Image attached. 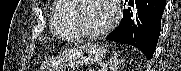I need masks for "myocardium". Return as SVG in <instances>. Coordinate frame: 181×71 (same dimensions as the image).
<instances>
[{
	"label": "myocardium",
	"instance_id": "myocardium-1",
	"mask_svg": "<svg viewBox=\"0 0 181 71\" xmlns=\"http://www.w3.org/2000/svg\"><path fill=\"white\" fill-rule=\"evenodd\" d=\"M66 1H69L71 3V8H72L71 24L79 37H83L87 39H96V38H100L102 36L107 35L109 32L113 30L116 24V18L113 13L114 8L110 4V1H105L110 7V11H111L110 21L104 28L98 31H90L84 28V26L81 24L79 20L78 13L80 11V1H83V0H66Z\"/></svg>",
	"mask_w": 181,
	"mask_h": 71
}]
</instances>
